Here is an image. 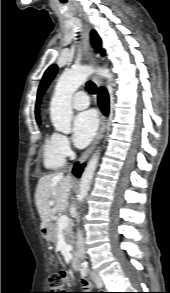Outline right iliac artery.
Masks as SVG:
<instances>
[{"label": "right iliac artery", "instance_id": "obj_1", "mask_svg": "<svg viewBox=\"0 0 170 293\" xmlns=\"http://www.w3.org/2000/svg\"><path fill=\"white\" fill-rule=\"evenodd\" d=\"M80 272H81V275L84 277V276L87 275L88 270H87V268H83V269L80 270Z\"/></svg>", "mask_w": 170, "mask_h": 293}]
</instances>
